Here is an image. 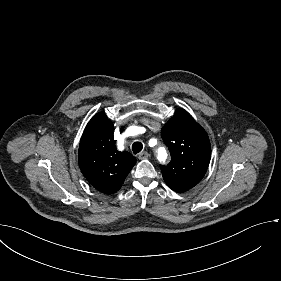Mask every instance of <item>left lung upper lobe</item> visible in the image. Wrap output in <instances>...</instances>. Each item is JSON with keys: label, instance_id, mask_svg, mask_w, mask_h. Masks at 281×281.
Here are the masks:
<instances>
[{"label": "left lung upper lobe", "instance_id": "5c2ea615", "mask_svg": "<svg viewBox=\"0 0 281 281\" xmlns=\"http://www.w3.org/2000/svg\"><path fill=\"white\" fill-rule=\"evenodd\" d=\"M161 136L172 157L168 166H160L163 179L172 190L185 192L206 173L211 157L208 135L185 110L178 109Z\"/></svg>", "mask_w": 281, "mask_h": 281}]
</instances>
